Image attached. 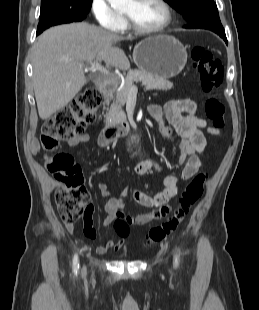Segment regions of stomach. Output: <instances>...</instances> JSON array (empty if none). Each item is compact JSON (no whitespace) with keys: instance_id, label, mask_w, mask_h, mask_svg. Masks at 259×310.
<instances>
[{"instance_id":"0dacf381","label":"stomach","mask_w":259,"mask_h":310,"mask_svg":"<svg viewBox=\"0 0 259 310\" xmlns=\"http://www.w3.org/2000/svg\"><path fill=\"white\" fill-rule=\"evenodd\" d=\"M133 60L140 71L162 79H170L184 69L187 52L175 37L156 35L142 40L135 46Z\"/></svg>"}]
</instances>
